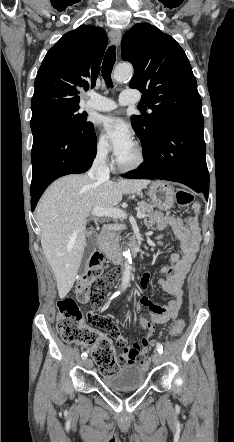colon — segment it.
<instances>
[{
    "mask_svg": "<svg viewBox=\"0 0 234 442\" xmlns=\"http://www.w3.org/2000/svg\"><path fill=\"white\" fill-rule=\"evenodd\" d=\"M176 201L179 206L187 207L193 202V195L185 189L176 192ZM103 256L96 252L90 259L89 268L86 273L77 281L75 286V298H67L59 303L57 316V329L61 338L66 343H76L89 347L94 362L100 368L104 377L114 376L121 362V357L117 358L112 341L100 333L101 328H90L83 324V316L77 303H90L95 308H100L104 299V293L108 290L119 275V268L113 267L106 273L102 272L101 266ZM151 310L158 311L159 306L148 302ZM98 314V313H90ZM184 328V322L178 320L171 328L170 334L173 337L179 336ZM107 332V331H105ZM113 339L115 337H112ZM142 369L148 370L147 361H142Z\"/></svg>",
    "mask_w": 234,
    "mask_h": 442,
    "instance_id": "colon-1",
    "label": "colon"
}]
</instances>
